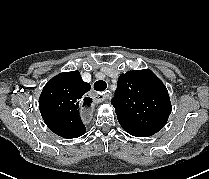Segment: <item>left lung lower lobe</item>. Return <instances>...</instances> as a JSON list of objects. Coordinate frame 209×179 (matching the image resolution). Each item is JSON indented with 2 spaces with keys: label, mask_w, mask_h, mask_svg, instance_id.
Masks as SVG:
<instances>
[{
  "label": "left lung lower lobe",
  "mask_w": 209,
  "mask_h": 179,
  "mask_svg": "<svg viewBox=\"0 0 209 179\" xmlns=\"http://www.w3.org/2000/svg\"><path fill=\"white\" fill-rule=\"evenodd\" d=\"M121 127L128 132L129 134L136 136V137H149L153 135V133L143 130L141 128H138L136 126H133L129 123H126L124 121H119Z\"/></svg>",
  "instance_id": "1"
}]
</instances>
